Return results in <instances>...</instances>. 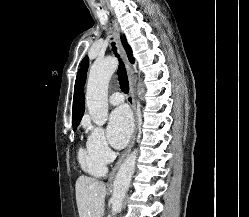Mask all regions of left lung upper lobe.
Instances as JSON below:
<instances>
[{
  "mask_svg": "<svg viewBox=\"0 0 249 217\" xmlns=\"http://www.w3.org/2000/svg\"><path fill=\"white\" fill-rule=\"evenodd\" d=\"M121 40H122V43L125 47V50L127 52V55H128V58L130 60V62H134V58L132 56V51L130 49V47L128 46L127 42H126V39H125V36H121ZM88 64H89V59L88 57H84V59L82 60V63H81V73H82V76L83 78L85 79L86 78V73H87V69H88Z\"/></svg>",
  "mask_w": 249,
  "mask_h": 217,
  "instance_id": "obj_1",
  "label": "left lung upper lobe"
}]
</instances>
